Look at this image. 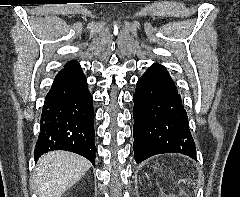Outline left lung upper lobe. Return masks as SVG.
<instances>
[{
	"instance_id": "left-lung-upper-lobe-1",
	"label": "left lung upper lobe",
	"mask_w": 240,
	"mask_h": 197,
	"mask_svg": "<svg viewBox=\"0 0 240 197\" xmlns=\"http://www.w3.org/2000/svg\"><path fill=\"white\" fill-rule=\"evenodd\" d=\"M153 67H155V68H164L163 66H161V65H157V64H154V66Z\"/></svg>"
}]
</instances>
